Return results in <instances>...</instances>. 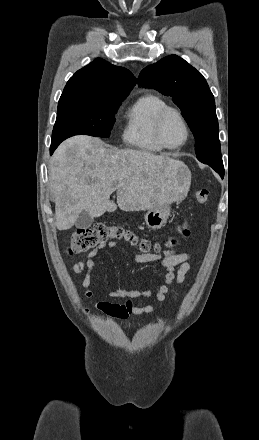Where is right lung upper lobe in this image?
Returning <instances> with one entry per match:
<instances>
[{
	"mask_svg": "<svg viewBox=\"0 0 259 440\" xmlns=\"http://www.w3.org/2000/svg\"><path fill=\"white\" fill-rule=\"evenodd\" d=\"M135 84L129 70L98 58L69 79L60 98L112 102L126 98Z\"/></svg>",
	"mask_w": 259,
	"mask_h": 440,
	"instance_id": "obj_1",
	"label": "right lung upper lobe"
}]
</instances>
